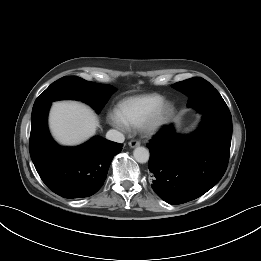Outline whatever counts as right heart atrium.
<instances>
[{
  "label": "right heart atrium",
  "instance_id": "d8ad5b80",
  "mask_svg": "<svg viewBox=\"0 0 261 261\" xmlns=\"http://www.w3.org/2000/svg\"><path fill=\"white\" fill-rule=\"evenodd\" d=\"M108 121L111 125L120 130H126L128 128L125 123L116 115L115 112H111L108 114Z\"/></svg>",
  "mask_w": 261,
  "mask_h": 261
}]
</instances>
